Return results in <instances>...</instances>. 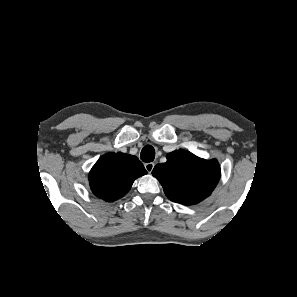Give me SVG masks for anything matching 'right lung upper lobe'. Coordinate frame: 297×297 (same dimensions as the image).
I'll use <instances>...</instances> for the list:
<instances>
[{
	"label": "right lung upper lobe",
	"instance_id": "right-lung-upper-lobe-1",
	"mask_svg": "<svg viewBox=\"0 0 297 297\" xmlns=\"http://www.w3.org/2000/svg\"><path fill=\"white\" fill-rule=\"evenodd\" d=\"M147 174L136 156L108 153L102 156L89 173V184L94 195L107 202L123 197L135 179Z\"/></svg>",
	"mask_w": 297,
	"mask_h": 297
}]
</instances>
